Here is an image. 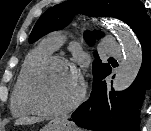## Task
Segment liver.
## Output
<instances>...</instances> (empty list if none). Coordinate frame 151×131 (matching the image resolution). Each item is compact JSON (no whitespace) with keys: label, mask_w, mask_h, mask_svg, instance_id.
Instances as JSON below:
<instances>
[{"label":"liver","mask_w":151,"mask_h":131,"mask_svg":"<svg viewBox=\"0 0 151 131\" xmlns=\"http://www.w3.org/2000/svg\"><path fill=\"white\" fill-rule=\"evenodd\" d=\"M40 121V118H27V117H22L19 118L15 121V125H22V124H27V123H35Z\"/></svg>","instance_id":"1"}]
</instances>
